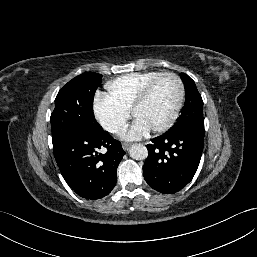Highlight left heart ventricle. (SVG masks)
Segmentation results:
<instances>
[{"label": "left heart ventricle", "mask_w": 257, "mask_h": 257, "mask_svg": "<svg viewBox=\"0 0 257 257\" xmlns=\"http://www.w3.org/2000/svg\"><path fill=\"white\" fill-rule=\"evenodd\" d=\"M178 99V86L171 77L162 78L153 89L147 102L134 114L150 129L164 124L171 116Z\"/></svg>", "instance_id": "1"}]
</instances>
